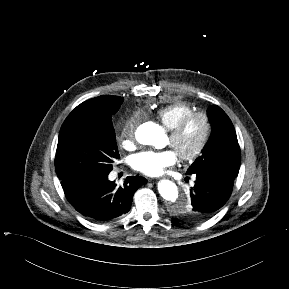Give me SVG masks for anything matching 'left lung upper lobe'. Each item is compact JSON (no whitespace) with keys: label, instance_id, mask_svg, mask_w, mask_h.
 Wrapping results in <instances>:
<instances>
[{"label":"left lung upper lobe","instance_id":"left-lung-upper-lobe-1","mask_svg":"<svg viewBox=\"0 0 289 289\" xmlns=\"http://www.w3.org/2000/svg\"><path fill=\"white\" fill-rule=\"evenodd\" d=\"M208 117L212 125V133L202 150V154L188 168L187 174L207 170H220L237 176L240 168L241 153L233 124L227 114L217 105L208 108ZM185 208H172V212L189 219Z\"/></svg>","mask_w":289,"mask_h":289}]
</instances>
